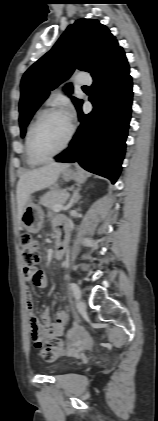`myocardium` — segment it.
Instances as JSON below:
<instances>
[{"label":"myocardium","mask_w":158,"mask_h":421,"mask_svg":"<svg viewBox=\"0 0 158 421\" xmlns=\"http://www.w3.org/2000/svg\"><path fill=\"white\" fill-rule=\"evenodd\" d=\"M52 114H65V112L62 109L56 108V107H53V108H49V109L44 110L39 115V117L36 119V121L34 122V124L32 125L31 130H30V133H29L28 147H29L30 154H31V156H32V158L34 160H36V161H38L40 163L50 161L55 156H57L58 154H60L61 152H63L69 146V144H70V142H71V140H72V138L74 136V133H75L74 125L71 123V121H69L70 122L69 134H68L65 142L62 144V146L58 150H56L54 153H52V154H50L48 156H41V155H39L36 152L35 147H34V137H35V134L37 132V129L42 124V122L48 116H50Z\"/></svg>","instance_id":"f54148a6"}]
</instances>
